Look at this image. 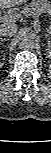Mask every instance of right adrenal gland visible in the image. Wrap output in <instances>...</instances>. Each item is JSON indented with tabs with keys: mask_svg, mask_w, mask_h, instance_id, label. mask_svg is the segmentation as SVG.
Segmentation results:
<instances>
[{
	"mask_svg": "<svg viewBox=\"0 0 51 153\" xmlns=\"http://www.w3.org/2000/svg\"><path fill=\"white\" fill-rule=\"evenodd\" d=\"M8 39L7 38H0V42H4V41H7Z\"/></svg>",
	"mask_w": 51,
	"mask_h": 153,
	"instance_id": "right-adrenal-gland-1",
	"label": "right adrenal gland"
}]
</instances>
